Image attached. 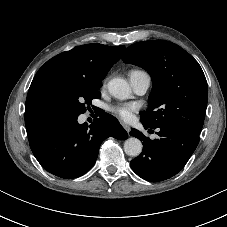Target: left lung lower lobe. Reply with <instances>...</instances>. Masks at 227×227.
Segmentation results:
<instances>
[{"instance_id": "1", "label": "left lung lower lobe", "mask_w": 227, "mask_h": 227, "mask_svg": "<svg viewBox=\"0 0 227 227\" xmlns=\"http://www.w3.org/2000/svg\"><path fill=\"white\" fill-rule=\"evenodd\" d=\"M142 124L145 129L152 128ZM157 129L159 137L154 140L136 129L130 132L143 144L142 153L130 162L131 168L138 176L150 182L163 181L180 172L200 139L199 135L181 127L163 125Z\"/></svg>"}]
</instances>
